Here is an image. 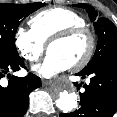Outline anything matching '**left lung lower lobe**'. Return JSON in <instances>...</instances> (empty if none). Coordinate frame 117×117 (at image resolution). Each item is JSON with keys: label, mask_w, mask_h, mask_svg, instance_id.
Segmentation results:
<instances>
[{"label": "left lung lower lobe", "mask_w": 117, "mask_h": 117, "mask_svg": "<svg viewBox=\"0 0 117 117\" xmlns=\"http://www.w3.org/2000/svg\"><path fill=\"white\" fill-rule=\"evenodd\" d=\"M76 75L82 79L89 76L90 83L84 84L85 91L80 93V108L69 114L61 113L60 117H112L117 111V53ZM75 85L79 89L77 82Z\"/></svg>", "instance_id": "obj_1"}]
</instances>
